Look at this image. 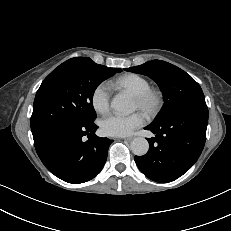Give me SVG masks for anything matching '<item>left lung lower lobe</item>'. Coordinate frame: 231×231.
Wrapping results in <instances>:
<instances>
[{
  "instance_id": "obj_1",
  "label": "left lung lower lobe",
  "mask_w": 231,
  "mask_h": 231,
  "mask_svg": "<svg viewBox=\"0 0 231 231\" xmlns=\"http://www.w3.org/2000/svg\"><path fill=\"white\" fill-rule=\"evenodd\" d=\"M207 106L181 110L160 123H151L155 137L149 141V151L135 156L139 170L149 179L168 183L186 173L199 158L206 139Z\"/></svg>"
}]
</instances>
